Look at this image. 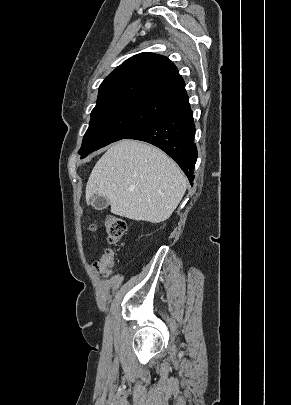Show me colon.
I'll list each match as a JSON object with an SVG mask.
<instances>
[{
	"label": "colon",
	"mask_w": 291,
	"mask_h": 405,
	"mask_svg": "<svg viewBox=\"0 0 291 405\" xmlns=\"http://www.w3.org/2000/svg\"><path fill=\"white\" fill-rule=\"evenodd\" d=\"M104 223L107 232V240L110 243H116L124 236L127 225L121 217L108 215ZM95 229L96 225H91L90 230L94 231ZM114 261V252L111 249H106L100 259L94 263V269L103 276H109L112 273Z\"/></svg>",
	"instance_id": "5ec220e1"
}]
</instances>
